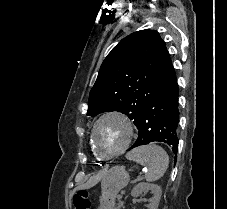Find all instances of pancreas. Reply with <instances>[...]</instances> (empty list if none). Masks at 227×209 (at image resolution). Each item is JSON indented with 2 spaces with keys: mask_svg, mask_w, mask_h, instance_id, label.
<instances>
[{
  "mask_svg": "<svg viewBox=\"0 0 227 209\" xmlns=\"http://www.w3.org/2000/svg\"><path fill=\"white\" fill-rule=\"evenodd\" d=\"M116 202L118 203V205H117L119 207L118 209H121V207L123 206L122 203L124 201L122 199H118ZM114 209H117V208L115 207Z\"/></svg>",
  "mask_w": 227,
  "mask_h": 209,
  "instance_id": "cf45deb5",
  "label": "pancreas"
}]
</instances>
